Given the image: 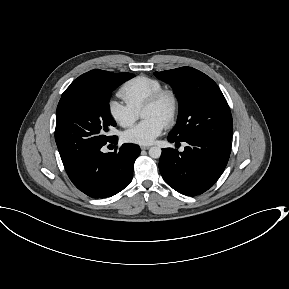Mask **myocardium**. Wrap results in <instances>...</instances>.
I'll use <instances>...</instances> for the list:
<instances>
[{
  "label": "myocardium",
  "mask_w": 289,
  "mask_h": 289,
  "mask_svg": "<svg viewBox=\"0 0 289 289\" xmlns=\"http://www.w3.org/2000/svg\"><path fill=\"white\" fill-rule=\"evenodd\" d=\"M167 98L170 102V107L165 119V125L170 126L175 122L179 111V97L172 89L162 88L152 94L143 104L142 109L158 105L163 99Z\"/></svg>",
  "instance_id": "1"
}]
</instances>
